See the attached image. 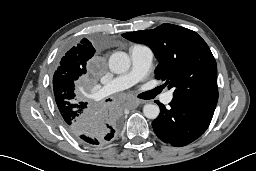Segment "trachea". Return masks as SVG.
Instances as JSON below:
<instances>
[{"instance_id":"1","label":"trachea","mask_w":256,"mask_h":171,"mask_svg":"<svg viewBox=\"0 0 256 171\" xmlns=\"http://www.w3.org/2000/svg\"><path fill=\"white\" fill-rule=\"evenodd\" d=\"M162 87H157L153 91L145 92L140 94L138 97L141 99H151L154 98L157 94H159L162 91Z\"/></svg>"}]
</instances>
